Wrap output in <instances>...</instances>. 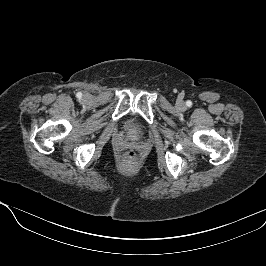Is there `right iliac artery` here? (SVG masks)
<instances>
[{"instance_id": "1", "label": "right iliac artery", "mask_w": 266, "mask_h": 266, "mask_svg": "<svg viewBox=\"0 0 266 266\" xmlns=\"http://www.w3.org/2000/svg\"><path fill=\"white\" fill-rule=\"evenodd\" d=\"M81 96H82V94L79 92V93H77V97L78 98H81Z\"/></svg>"}]
</instances>
